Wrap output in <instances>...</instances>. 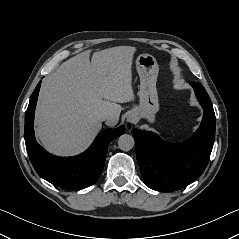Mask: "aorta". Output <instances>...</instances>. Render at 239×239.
Returning <instances> with one entry per match:
<instances>
[{"instance_id": "762f6f07", "label": "aorta", "mask_w": 239, "mask_h": 239, "mask_svg": "<svg viewBox=\"0 0 239 239\" xmlns=\"http://www.w3.org/2000/svg\"><path fill=\"white\" fill-rule=\"evenodd\" d=\"M134 145V138L129 134H123L118 138V146L123 151L131 150Z\"/></svg>"}]
</instances>
